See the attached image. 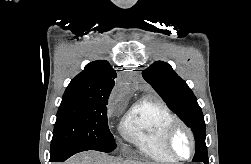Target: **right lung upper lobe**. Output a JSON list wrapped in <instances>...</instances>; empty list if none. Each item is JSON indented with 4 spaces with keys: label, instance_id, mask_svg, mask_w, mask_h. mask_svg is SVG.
I'll return each instance as SVG.
<instances>
[{
    "label": "right lung upper lobe",
    "instance_id": "cb5924a9",
    "mask_svg": "<svg viewBox=\"0 0 251 164\" xmlns=\"http://www.w3.org/2000/svg\"><path fill=\"white\" fill-rule=\"evenodd\" d=\"M115 78L116 72L108 61L91 62L72 79L63 97L108 101Z\"/></svg>",
    "mask_w": 251,
    "mask_h": 164
}]
</instances>
